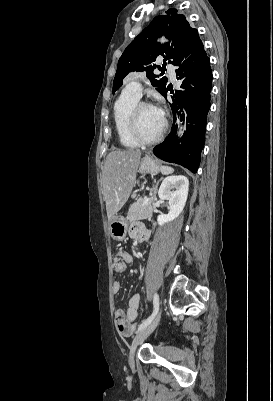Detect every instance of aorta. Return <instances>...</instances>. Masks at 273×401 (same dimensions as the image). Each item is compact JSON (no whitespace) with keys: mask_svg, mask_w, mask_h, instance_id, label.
<instances>
[{"mask_svg":"<svg viewBox=\"0 0 273 401\" xmlns=\"http://www.w3.org/2000/svg\"><path fill=\"white\" fill-rule=\"evenodd\" d=\"M160 41H161V42H166L167 40H166L165 38H161ZM184 130H185V127H182V128H181V131H180V134H181V135H183Z\"/></svg>","mask_w":273,"mask_h":401,"instance_id":"1","label":"aorta"}]
</instances>
